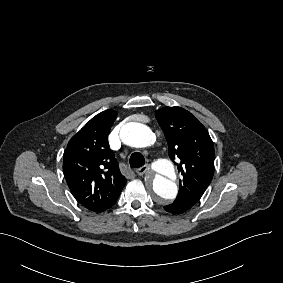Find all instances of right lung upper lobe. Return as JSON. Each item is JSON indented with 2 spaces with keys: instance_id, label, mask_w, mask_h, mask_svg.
<instances>
[{
  "instance_id": "1",
  "label": "right lung upper lobe",
  "mask_w": 283,
  "mask_h": 283,
  "mask_svg": "<svg viewBox=\"0 0 283 283\" xmlns=\"http://www.w3.org/2000/svg\"><path fill=\"white\" fill-rule=\"evenodd\" d=\"M116 114L109 109L96 115L71 138L64 152L63 170L72 194L95 212L113 206L126 184L108 144Z\"/></svg>"
}]
</instances>
